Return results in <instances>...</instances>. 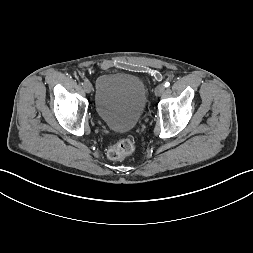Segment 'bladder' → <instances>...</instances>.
Returning a JSON list of instances; mask_svg holds the SVG:
<instances>
[{"instance_id":"1","label":"bladder","mask_w":253,"mask_h":253,"mask_svg":"<svg viewBox=\"0 0 253 253\" xmlns=\"http://www.w3.org/2000/svg\"><path fill=\"white\" fill-rule=\"evenodd\" d=\"M147 107L143 80L131 73L102 74L96 82L95 109L99 118L117 131L133 129Z\"/></svg>"}]
</instances>
